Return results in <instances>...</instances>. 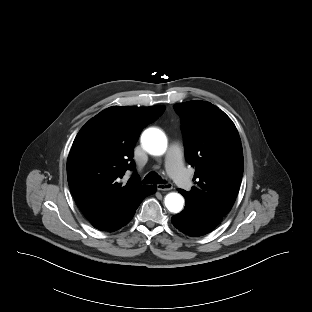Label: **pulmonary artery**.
<instances>
[{"label":"pulmonary artery","mask_w":312,"mask_h":312,"mask_svg":"<svg viewBox=\"0 0 312 312\" xmlns=\"http://www.w3.org/2000/svg\"><path fill=\"white\" fill-rule=\"evenodd\" d=\"M166 169L173 181L181 188L186 189L191 183V179L183 164V154L177 144H172L166 155Z\"/></svg>","instance_id":"pulmonary-artery-1"}]
</instances>
